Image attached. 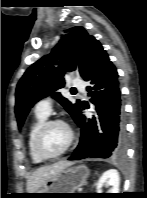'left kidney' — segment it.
<instances>
[{
    "label": "left kidney",
    "instance_id": "1",
    "mask_svg": "<svg viewBox=\"0 0 147 198\" xmlns=\"http://www.w3.org/2000/svg\"><path fill=\"white\" fill-rule=\"evenodd\" d=\"M120 178L119 173L116 169H110L103 173L97 183L98 193L102 192L103 186H111V189L108 193H119Z\"/></svg>",
    "mask_w": 147,
    "mask_h": 198
}]
</instances>
